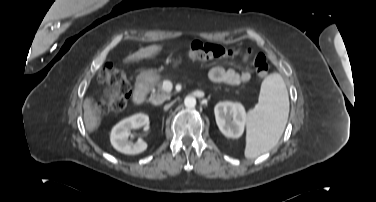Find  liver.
<instances>
[{
  "label": "liver",
  "instance_id": "liver-1",
  "mask_svg": "<svg viewBox=\"0 0 376 202\" xmlns=\"http://www.w3.org/2000/svg\"><path fill=\"white\" fill-rule=\"evenodd\" d=\"M161 49L160 45H151L145 48L139 49L137 52L127 56L123 63L136 62L141 59L151 58L156 55ZM84 108V124L85 128L89 132H93L97 129L101 123V118L97 115L95 109L92 106V102L89 98H86L83 103Z\"/></svg>",
  "mask_w": 376,
  "mask_h": 202
}]
</instances>
